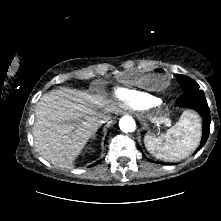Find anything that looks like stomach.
<instances>
[{
    "instance_id": "stomach-1",
    "label": "stomach",
    "mask_w": 221,
    "mask_h": 221,
    "mask_svg": "<svg viewBox=\"0 0 221 221\" xmlns=\"http://www.w3.org/2000/svg\"><path fill=\"white\" fill-rule=\"evenodd\" d=\"M126 87H142L146 90L161 91L169 84L167 73L161 68H154L148 72H126L121 77Z\"/></svg>"
}]
</instances>
